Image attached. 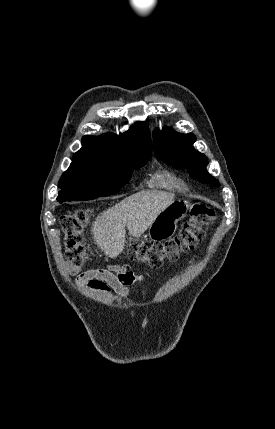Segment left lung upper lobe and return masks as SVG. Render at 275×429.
I'll list each match as a JSON object with an SVG mask.
<instances>
[{
	"label": "left lung upper lobe",
	"instance_id": "1",
	"mask_svg": "<svg viewBox=\"0 0 275 429\" xmlns=\"http://www.w3.org/2000/svg\"><path fill=\"white\" fill-rule=\"evenodd\" d=\"M195 140L192 133L184 135L170 128L153 133L154 151L159 159L176 169H187L201 183L219 187V182L206 170L207 157L193 148Z\"/></svg>",
	"mask_w": 275,
	"mask_h": 429
}]
</instances>
